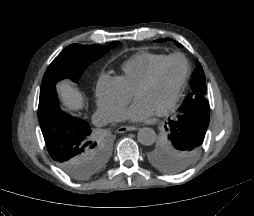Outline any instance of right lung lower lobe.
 I'll return each instance as SVG.
<instances>
[{"label": "right lung lower lobe", "instance_id": "right-lung-lower-lobe-1", "mask_svg": "<svg viewBox=\"0 0 254 216\" xmlns=\"http://www.w3.org/2000/svg\"><path fill=\"white\" fill-rule=\"evenodd\" d=\"M38 119L47 150L56 164L71 177L89 179L98 171L97 142L90 125L63 112L55 86L40 91ZM79 164V171L74 169ZM80 180V179H79Z\"/></svg>", "mask_w": 254, "mask_h": 216}]
</instances>
